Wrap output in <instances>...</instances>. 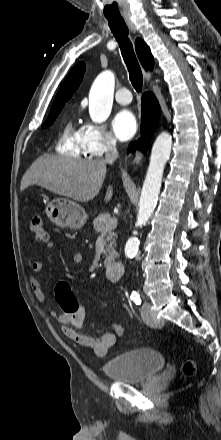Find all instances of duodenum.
Listing matches in <instances>:
<instances>
[{
    "label": "duodenum",
    "mask_w": 221,
    "mask_h": 440,
    "mask_svg": "<svg viewBox=\"0 0 221 440\" xmlns=\"http://www.w3.org/2000/svg\"><path fill=\"white\" fill-rule=\"evenodd\" d=\"M124 274V266L119 261H113L106 265V276L111 281H118Z\"/></svg>",
    "instance_id": "1"
}]
</instances>
